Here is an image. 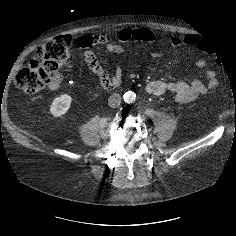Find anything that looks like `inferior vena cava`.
I'll return each instance as SVG.
<instances>
[{"mask_svg":"<svg viewBox=\"0 0 236 236\" xmlns=\"http://www.w3.org/2000/svg\"><path fill=\"white\" fill-rule=\"evenodd\" d=\"M108 104L112 108H116L121 104V96L117 93L112 94L108 99Z\"/></svg>","mask_w":236,"mask_h":236,"instance_id":"602c4592","label":"inferior vena cava"}]
</instances>
